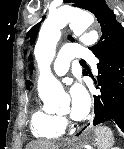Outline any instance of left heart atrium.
<instances>
[{
    "mask_svg": "<svg viewBox=\"0 0 124 149\" xmlns=\"http://www.w3.org/2000/svg\"><path fill=\"white\" fill-rule=\"evenodd\" d=\"M71 109L70 115L74 120L83 119L89 112L91 100L86 88L79 82L70 88Z\"/></svg>",
    "mask_w": 124,
    "mask_h": 149,
    "instance_id": "left-heart-atrium-1",
    "label": "left heart atrium"
}]
</instances>
